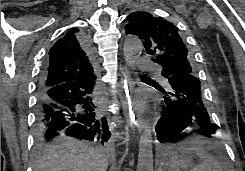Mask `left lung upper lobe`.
I'll use <instances>...</instances> for the list:
<instances>
[{"label":"left lung upper lobe","instance_id":"1","mask_svg":"<svg viewBox=\"0 0 245 171\" xmlns=\"http://www.w3.org/2000/svg\"><path fill=\"white\" fill-rule=\"evenodd\" d=\"M127 22L126 34L141 39L152 61L163 67L164 79L178 72L196 73L191 54L175 25L147 12L130 13Z\"/></svg>","mask_w":245,"mask_h":171}]
</instances>
